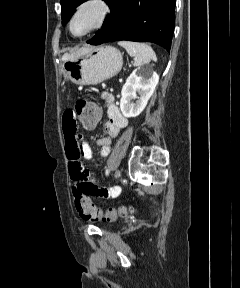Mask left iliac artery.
Masks as SVG:
<instances>
[{"label": "left iliac artery", "mask_w": 240, "mask_h": 288, "mask_svg": "<svg viewBox=\"0 0 240 288\" xmlns=\"http://www.w3.org/2000/svg\"><path fill=\"white\" fill-rule=\"evenodd\" d=\"M109 172H110V170H109V169H107V170H106V172H105V173H106V175H108V174H109Z\"/></svg>", "instance_id": "1"}]
</instances>
